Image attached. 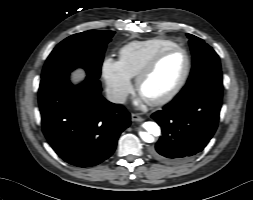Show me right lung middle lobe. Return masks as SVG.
<instances>
[{"label": "right lung middle lobe", "mask_w": 253, "mask_h": 200, "mask_svg": "<svg viewBox=\"0 0 253 200\" xmlns=\"http://www.w3.org/2000/svg\"><path fill=\"white\" fill-rule=\"evenodd\" d=\"M114 31L91 30L74 34L60 42L46 60L42 79L84 68L89 77L98 79L106 45Z\"/></svg>", "instance_id": "1"}]
</instances>
